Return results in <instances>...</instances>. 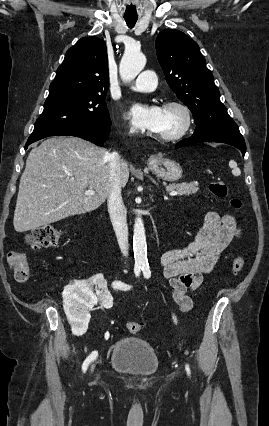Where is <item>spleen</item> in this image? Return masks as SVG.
Returning <instances> with one entry per match:
<instances>
[{
  "label": "spleen",
  "instance_id": "spleen-1",
  "mask_svg": "<svg viewBox=\"0 0 269 426\" xmlns=\"http://www.w3.org/2000/svg\"><path fill=\"white\" fill-rule=\"evenodd\" d=\"M229 167L232 169V174L236 177L240 176L241 171L237 167V163L234 160L229 161Z\"/></svg>",
  "mask_w": 269,
  "mask_h": 426
}]
</instances>
